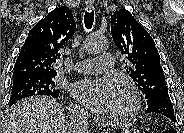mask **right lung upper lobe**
<instances>
[{
  "label": "right lung upper lobe",
  "mask_w": 184,
  "mask_h": 133,
  "mask_svg": "<svg viewBox=\"0 0 184 133\" xmlns=\"http://www.w3.org/2000/svg\"><path fill=\"white\" fill-rule=\"evenodd\" d=\"M72 11L59 7L39 21L28 33L15 63L13 78L19 76H55L54 63L59 50L75 33Z\"/></svg>",
  "instance_id": "cb5924a9"
}]
</instances>
